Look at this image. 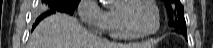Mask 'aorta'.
<instances>
[{"label":"aorta","instance_id":"1","mask_svg":"<svg viewBox=\"0 0 213 48\" xmlns=\"http://www.w3.org/2000/svg\"><path fill=\"white\" fill-rule=\"evenodd\" d=\"M103 1L104 3H108V2H113L114 0H101Z\"/></svg>","mask_w":213,"mask_h":48}]
</instances>
